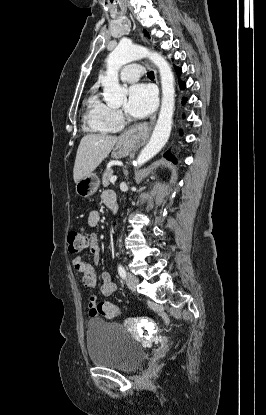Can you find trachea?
<instances>
[{
  "label": "trachea",
  "mask_w": 266,
  "mask_h": 415,
  "mask_svg": "<svg viewBox=\"0 0 266 415\" xmlns=\"http://www.w3.org/2000/svg\"><path fill=\"white\" fill-rule=\"evenodd\" d=\"M148 77L149 78H154V72L153 71L148 72Z\"/></svg>",
  "instance_id": "3493384b"
}]
</instances>
